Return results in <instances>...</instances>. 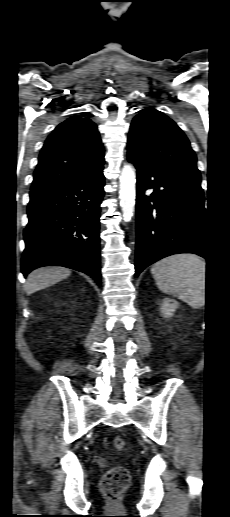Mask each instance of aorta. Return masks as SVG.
I'll return each mask as SVG.
<instances>
[{"instance_id": "762f6f07", "label": "aorta", "mask_w": 230, "mask_h": 517, "mask_svg": "<svg viewBox=\"0 0 230 517\" xmlns=\"http://www.w3.org/2000/svg\"><path fill=\"white\" fill-rule=\"evenodd\" d=\"M119 198L124 220L128 222L133 216L136 199V173L132 165L127 164L122 168Z\"/></svg>"}]
</instances>
